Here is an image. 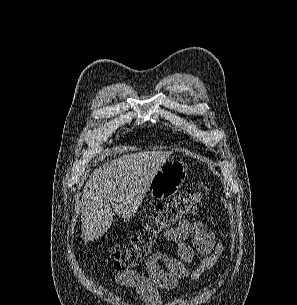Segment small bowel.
I'll return each instance as SVG.
<instances>
[{
  "mask_svg": "<svg viewBox=\"0 0 297 305\" xmlns=\"http://www.w3.org/2000/svg\"><path fill=\"white\" fill-rule=\"evenodd\" d=\"M175 248V255L156 252L146 261V273L119 271L115 281L121 287L138 292L145 305H160V289H173L183 278L196 282L210 270L223 254L224 247L214 232L201 221L182 220L164 233ZM203 256L195 269L191 265L195 255Z\"/></svg>",
  "mask_w": 297,
  "mask_h": 305,
  "instance_id": "small-bowel-1",
  "label": "small bowel"
}]
</instances>
